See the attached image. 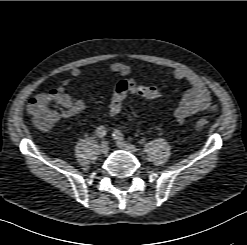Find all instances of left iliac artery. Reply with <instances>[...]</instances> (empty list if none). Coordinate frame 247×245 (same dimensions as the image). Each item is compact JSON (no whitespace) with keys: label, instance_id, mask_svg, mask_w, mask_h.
Returning <instances> with one entry per match:
<instances>
[{"label":"left iliac artery","instance_id":"1","mask_svg":"<svg viewBox=\"0 0 247 245\" xmlns=\"http://www.w3.org/2000/svg\"><path fill=\"white\" fill-rule=\"evenodd\" d=\"M113 136L115 139H118V140H123L124 139V136L122 134V132L120 130H115L113 132Z\"/></svg>","mask_w":247,"mask_h":245}]
</instances>
